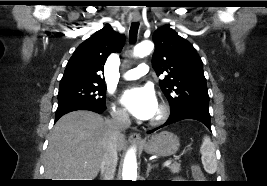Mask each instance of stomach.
Wrapping results in <instances>:
<instances>
[{"label":"stomach","mask_w":267,"mask_h":186,"mask_svg":"<svg viewBox=\"0 0 267 186\" xmlns=\"http://www.w3.org/2000/svg\"><path fill=\"white\" fill-rule=\"evenodd\" d=\"M179 146V139L175 134L162 131L145 141L142 144V149L151 155L170 156L177 152Z\"/></svg>","instance_id":"0dacf381"}]
</instances>
